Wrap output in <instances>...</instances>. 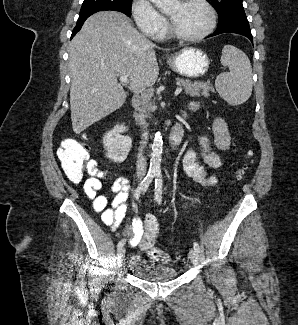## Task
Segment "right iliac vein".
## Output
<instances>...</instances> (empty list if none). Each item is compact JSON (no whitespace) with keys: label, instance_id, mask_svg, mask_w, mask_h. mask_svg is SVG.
Wrapping results in <instances>:
<instances>
[{"label":"right iliac vein","instance_id":"right-iliac-vein-1","mask_svg":"<svg viewBox=\"0 0 298 325\" xmlns=\"http://www.w3.org/2000/svg\"><path fill=\"white\" fill-rule=\"evenodd\" d=\"M124 256H125V248L122 246L117 251V265H118V267L122 266Z\"/></svg>","mask_w":298,"mask_h":325}]
</instances>
